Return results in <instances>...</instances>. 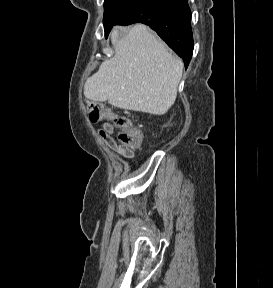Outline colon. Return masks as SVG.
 <instances>
[{
	"label": "colon",
	"mask_w": 273,
	"mask_h": 288,
	"mask_svg": "<svg viewBox=\"0 0 273 288\" xmlns=\"http://www.w3.org/2000/svg\"><path fill=\"white\" fill-rule=\"evenodd\" d=\"M88 115L92 122L111 121L118 130V141L126 148H138L142 145V134L130 121L114 114L104 104L91 102L88 104ZM102 133V132H101Z\"/></svg>",
	"instance_id": "colon-1"
}]
</instances>
